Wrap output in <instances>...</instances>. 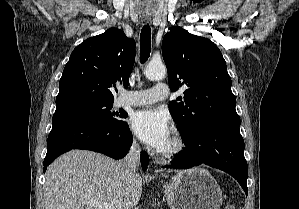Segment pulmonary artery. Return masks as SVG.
<instances>
[{
    "mask_svg": "<svg viewBox=\"0 0 299 209\" xmlns=\"http://www.w3.org/2000/svg\"><path fill=\"white\" fill-rule=\"evenodd\" d=\"M169 95V89L165 83H157L146 90L125 91L120 99L122 106H138L151 104L165 99Z\"/></svg>",
    "mask_w": 299,
    "mask_h": 209,
    "instance_id": "1",
    "label": "pulmonary artery"
}]
</instances>
